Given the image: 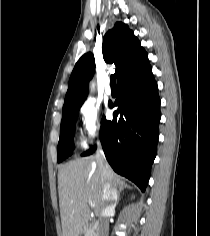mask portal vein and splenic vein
<instances>
[{"label": "portal vein and splenic vein", "instance_id": "1", "mask_svg": "<svg viewBox=\"0 0 210 236\" xmlns=\"http://www.w3.org/2000/svg\"><path fill=\"white\" fill-rule=\"evenodd\" d=\"M90 205H91L92 207H94V206H95L93 202H90Z\"/></svg>", "mask_w": 210, "mask_h": 236}]
</instances>
